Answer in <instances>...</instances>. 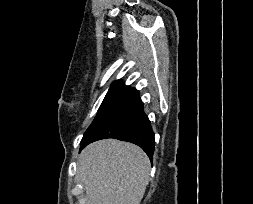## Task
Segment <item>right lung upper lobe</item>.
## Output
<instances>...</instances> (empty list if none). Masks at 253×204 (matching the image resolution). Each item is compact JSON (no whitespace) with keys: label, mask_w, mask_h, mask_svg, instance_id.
I'll return each instance as SVG.
<instances>
[{"label":"right lung upper lobe","mask_w":253,"mask_h":204,"mask_svg":"<svg viewBox=\"0 0 253 204\" xmlns=\"http://www.w3.org/2000/svg\"><path fill=\"white\" fill-rule=\"evenodd\" d=\"M117 83H121V81H120V80H118V81H116L114 84H117Z\"/></svg>","instance_id":"cb5924a9"}]
</instances>
